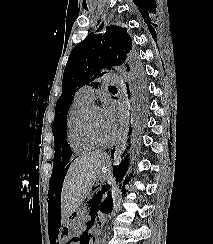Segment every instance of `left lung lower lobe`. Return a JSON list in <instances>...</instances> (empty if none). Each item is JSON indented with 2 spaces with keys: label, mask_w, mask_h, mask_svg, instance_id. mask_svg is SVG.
<instances>
[{
  "label": "left lung lower lobe",
  "mask_w": 213,
  "mask_h": 244,
  "mask_svg": "<svg viewBox=\"0 0 213 244\" xmlns=\"http://www.w3.org/2000/svg\"><path fill=\"white\" fill-rule=\"evenodd\" d=\"M145 120H146V108L134 106L133 110L131 111V124L129 126V130H130L129 135H132L133 141L135 143H137L140 132L144 128ZM128 141H129V139H128ZM129 148H130V144H129ZM113 153H114V150H112V156H113ZM125 153H127V150H125L122 157L124 156ZM128 166H129L128 158H125L124 161L119 165V167L117 169H115V174L117 176V180L122 179L125 176ZM102 195H103V191H101V193H99V196H96L95 198H93V200L90 203V206L92 207V211L95 210L96 213L98 210H101L99 204L101 202ZM101 205H103V203H101Z\"/></svg>",
  "instance_id": "obj_1"
}]
</instances>
